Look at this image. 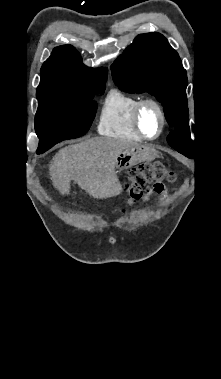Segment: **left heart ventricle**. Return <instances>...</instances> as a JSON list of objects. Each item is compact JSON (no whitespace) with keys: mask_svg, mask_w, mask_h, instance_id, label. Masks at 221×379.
<instances>
[{"mask_svg":"<svg viewBox=\"0 0 221 379\" xmlns=\"http://www.w3.org/2000/svg\"><path fill=\"white\" fill-rule=\"evenodd\" d=\"M160 125L159 115L155 108L146 107L141 115V126L148 135H154L158 132Z\"/></svg>","mask_w":221,"mask_h":379,"instance_id":"left-heart-ventricle-1","label":"left heart ventricle"}]
</instances>
